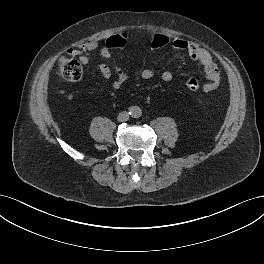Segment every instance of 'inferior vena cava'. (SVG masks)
I'll list each match as a JSON object with an SVG mask.
<instances>
[{
    "label": "inferior vena cava",
    "instance_id": "inferior-vena-cava-1",
    "mask_svg": "<svg viewBox=\"0 0 264 264\" xmlns=\"http://www.w3.org/2000/svg\"><path fill=\"white\" fill-rule=\"evenodd\" d=\"M117 119H118V121H120V122L127 121V120L129 119V114H128V112L123 111V112L119 113Z\"/></svg>",
    "mask_w": 264,
    "mask_h": 264
}]
</instances>
